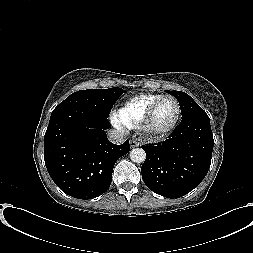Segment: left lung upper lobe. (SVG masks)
<instances>
[{
  "label": "left lung upper lobe",
  "mask_w": 253,
  "mask_h": 253,
  "mask_svg": "<svg viewBox=\"0 0 253 253\" xmlns=\"http://www.w3.org/2000/svg\"><path fill=\"white\" fill-rule=\"evenodd\" d=\"M166 92L177 98L183 118L194 114L205 113L203 109L188 94L181 91H166Z\"/></svg>",
  "instance_id": "5c2ea615"
}]
</instances>
